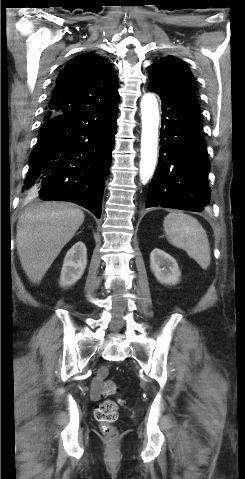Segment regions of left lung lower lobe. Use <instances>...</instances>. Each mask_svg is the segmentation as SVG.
<instances>
[{"label":"left lung lower lobe","instance_id":"left-lung-lower-lobe-1","mask_svg":"<svg viewBox=\"0 0 245 479\" xmlns=\"http://www.w3.org/2000/svg\"><path fill=\"white\" fill-rule=\"evenodd\" d=\"M162 102L160 153L148 189L146 207L177 208L198 212L210 200V170L200 109L193 87L162 90L149 82Z\"/></svg>","mask_w":245,"mask_h":479}]
</instances>
